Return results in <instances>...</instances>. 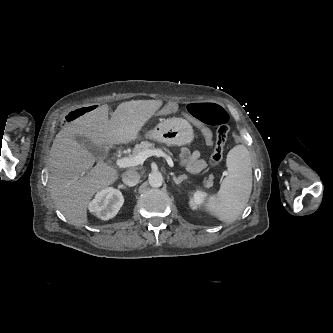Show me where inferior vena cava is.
<instances>
[{"label":"inferior vena cava","instance_id":"obj_1","mask_svg":"<svg viewBox=\"0 0 333 333\" xmlns=\"http://www.w3.org/2000/svg\"><path fill=\"white\" fill-rule=\"evenodd\" d=\"M140 180V174L135 169H129L122 175V181L127 186H135Z\"/></svg>","mask_w":333,"mask_h":333}]
</instances>
